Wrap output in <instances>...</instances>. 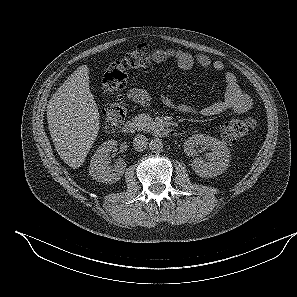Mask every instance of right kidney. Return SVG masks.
I'll return each instance as SVG.
<instances>
[{
  "mask_svg": "<svg viewBox=\"0 0 297 297\" xmlns=\"http://www.w3.org/2000/svg\"><path fill=\"white\" fill-rule=\"evenodd\" d=\"M117 146L116 140H108L101 144L90 161L89 173L98 182L114 183L124 173L126 163L119 159L114 166H110L109 153Z\"/></svg>",
  "mask_w": 297,
  "mask_h": 297,
  "instance_id": "obj_1",
  "label": "right kidney"
}]
</instances>
